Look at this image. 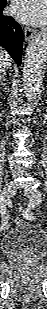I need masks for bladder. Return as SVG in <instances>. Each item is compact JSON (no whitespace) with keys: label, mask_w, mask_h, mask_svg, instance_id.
<instances>
[{"label":"bladder","mask_w":47,"mask_h":309,"mask_svg":"<svg viewBox=\"0 0 47 309\" xmlns=\"http://www.w3.org/2000/svg\"><path fill=\"white\" fill-rule=\"evenodd\" d=\"M46 247V232L35 224L20 222L1 240V249L7 255L40 254Z\"/></svg>","instance_id":"bladder-1"}]
</instances>
